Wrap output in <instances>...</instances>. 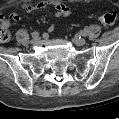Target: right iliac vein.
<instances>
[{
  "label": "right iliac vein",
  "instance_id": "obj_1",
  "mask_svg": "<svg viewBox=\"0 0 119 119\" xmlns=\"http://www.w3.org/2000/svg\"><path fill=\"white\" fill-rule=\"evenodd\" d=\"M38 41H39V37H34V38L31 40V44H36Z\"/></svg>",
  "mask_w": 119,
  "mask_h": 119
}]
</instances>
